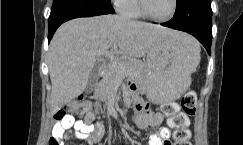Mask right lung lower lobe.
<instances>
[{"label": "right lung lower lobe", "instance_id": "obj_1", "mask_svg": "<svg viewBox=\"0 0 243 145\" xmlns=\"http://www.w3.org/2000/svg\"><path fill=\"white\" fill-rule=\"evenodd\" d=\"M114 12L110 0H54L48 19V41L65 21L77 17L113 14Z\"/></svg>", "mask_w": 243, "mask_h": 145}]
</instances>
